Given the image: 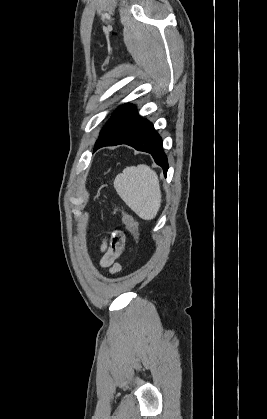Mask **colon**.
Returning <instances> with one entry per match:
<instances>
[{
  "mask_svg": "<svg viewBox=\"0 0 267 419\" xmlns=\"http://www.w3.org/2000/svg\"><path fill=\"white\" fill-rule=\"evenodd\" d=\"M111 209L114 213L119 214L121 216L122 222L125 224L126 228L132 233L134 240L136 243L139 241V227L138 223L135 219L129 215L123 208L112 205Z\"/></svg>",
  "mask_w": 267,
  "mask_h": 419,
  "instance_id": "5ec220e1",
  "label": "colon"
}]
</instances>
